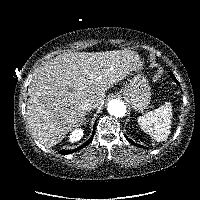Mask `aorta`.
Masks as SVG:
<instances>
[{"label":"aorta","mask_w":200,"mask_h":200,"mask_svg":"<svg viewBox=\"0 0 200 200\" xmlns=\"http://www.w3.org/2000/svg\"><path fill=\"white\" fill-rule=\"evenodd\" d=\"M108 112L115 117H123L126 113V106L120 100L113 99L108 103Z\"/></svg>","instance_id":"obj_1"}]
</instances>
